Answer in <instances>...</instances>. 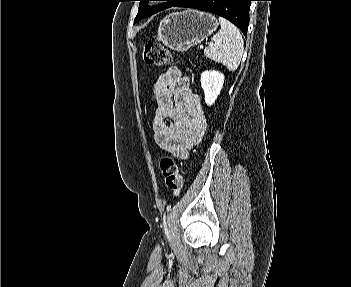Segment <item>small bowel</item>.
<instances>
[{
	"label": "small bowel",
	"mask_w": 351,
	"mask_h": 287,
	"mask_svg": "<svg viewBox=\"0 0 351 287\" xmlns=\"http://www.w3.org/2000/svg\"><path fill=\"white\" fill-rule=\"evenodd\" d=\"M152 101L154 139L164 151L181 158L202 139L207 127L206 116L198 94L189 88V80L177 67H171L157 78Z\"/></svg>",
	"instance_id": "1"
}]
</instances>
